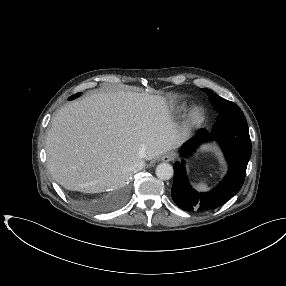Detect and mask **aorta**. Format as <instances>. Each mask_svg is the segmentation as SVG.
<instances>
[{"label": "aorta", "mask_w": 286, "mask_h": 286, "mask_svg": "<svg viewBox=\"0 0 286 286\" xmlns=\"http://www.w3.org/2000/svg\"><path fill=\"white\" fill-rule=\"evenodd\" d=\"M156 176L161 180H169L173 176V167L168 163H160L156 167Z\"/></svg>", "instance_id": "obj_1"}]
</instances>
